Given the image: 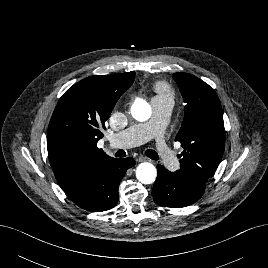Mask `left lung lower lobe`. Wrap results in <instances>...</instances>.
Wrapping results in <instances>:
<instances>
[{
	"mask_svg": "<svg viewBox=\"0 0 268 268\" xmlns=\"http://www.w3.org/2000/svg\"><path fill=\"white\" fill-rule=\"evenodd\" d=\"M158 176L152 189L156 204L164 207L180 208L198 201L204 189L195 186L177 172H170L157 166Z\"/></svg>",
	"mask_w": 268,
	"mask_h": 268,
	"instance_id": "1",
	"label": "left lung lower lobe"
}]
</instances>
